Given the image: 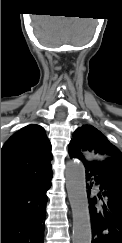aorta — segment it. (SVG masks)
Returning a JSON list of instances; mask_svg holds the SVG:
<instances>
[{"mask_svg":"<svg viewBox=\"0 0 122 243\" xmlns=\"http://www.w3.org/2000/svg\"><path fill=\"white\" fill-rule=\"evenodd\" d=\"M66 188L73 215V243H91L92 233L86 193L85 168L69 162L65 171Z\"/></svg>","mask_w":122,"mask_h":243,"instance_id":"762f6f07","label":"aorta"}]
</instances>
